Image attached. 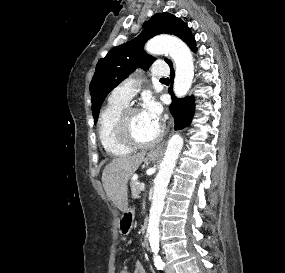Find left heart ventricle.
Masks as SVG:
<instances>
[{"instance_id":"1","label":"left heart ventricle","mask_w":285,"mask_h":273,"mask_svg":"<svg viewBox=\"0 0 285 273\" xmlns=\"http://www.w3.org/2000/svg\"><path fill=\"white\" fill-rule=\"evenodd\" d=\"M129 126L133 136L142 142L150 141L155 138L159 132L160 125L148 120L141 111L130 115Z\"/></svg>"}]
</instances>
